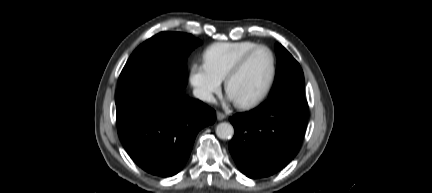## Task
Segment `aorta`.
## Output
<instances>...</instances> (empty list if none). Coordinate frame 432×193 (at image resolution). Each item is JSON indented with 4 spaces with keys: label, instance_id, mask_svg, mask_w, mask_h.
I'll return each mask as SVG.
<instances>
[{
    "label": "aorta",
    "instance_id": "1",
    "mask_svg": "<svg viewBox=\"0 0 432 193\" xmlns=\"http://www.w3.org/2000/svg\"><path fill=\"white\" fill-rule=\"evenodd\" d=\"M216 135L223 140L231 139L234 135V128L230 123H219L216 126Z\"/></svg>",
    "mask_w": 432,
    "mask_h": 193
}]
</instances>
